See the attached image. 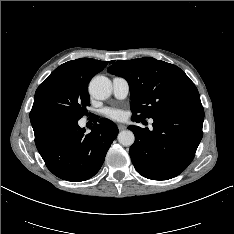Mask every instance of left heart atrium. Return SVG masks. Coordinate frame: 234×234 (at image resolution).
Here are the masks:
<instances>
[{"instance_id": "1", "label": "left heart atrium", "mask_w": 234, "mask_h": 234, "mask_svg": "<svg viewBox=\"0 0 234 234\" xmlns=\"http://www.w3.org/2000/svg\"><path fill=\"white\" fill-rule=\"evenodd\" d=\"M103 113L106 118L115 121H121L125 118V113L120 108H106Z\"/></svg>"}]
</instances>
